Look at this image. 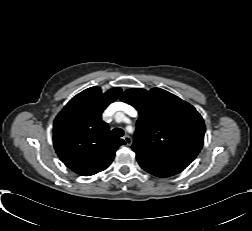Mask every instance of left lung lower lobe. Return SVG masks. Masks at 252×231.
<instances>
[{
	"instance_id": "obj_1",
	"label": "left lung lower lobe",
	"mask_w": 252,
	"mask_h": 231,
	"mask_svg": "<svg viewBox=\"0 0 252 231\" xmlns=\"http://www.w3.org/2000/svg\"><path fill=\"white\" fill-rule=\"evenodd\" d=\"M140 166L158 177H169L183 171L191 162L177 158H156L136 155Z\"/></svg>"
}]
</instances>
